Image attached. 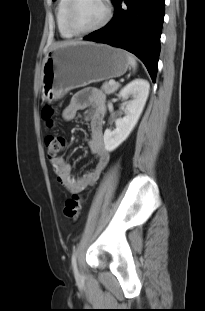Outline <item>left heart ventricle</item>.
I'll return each instance as SVG.
<instances>
[{
	"label": "left heart ventricle",
	"mask_w": 205,
	"mask_h": 311,
	"mask_svg": "<svg viewBox=\"0 0 205 311\" xmlns=\"http://www.w3.org/2000/svg\"><path fill=\"white\" fill-rule=\"evenodd\" d=\"M105 16L101 0H77L73 21L79 29H89L99 24Z\"/></svg>",
	"instance_id": "b2bd125f"
}]
</instances>
